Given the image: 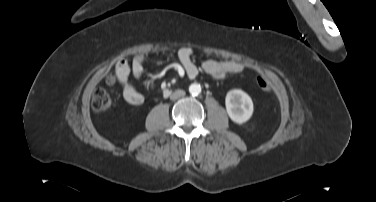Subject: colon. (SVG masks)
<instances>
[{"label":"colon","mask_w":376,"mask_h":202,"mask_svg":"<svg viewBox=\"0 0 376 202\" xmlns=\"http://www.w3.org/2000/svg\"><path fill=\"white\" fill-rule=\"evenodd\" d=\"M106 82L111 85L115 82V78L111 75ZM256 84L263 91L270 90V81L265 76H258ZM91 105L96 113H102L111 107L112 97L105 89H98L92 96Z\"/></svg>","instance_id":"colon-1"}]
</instances>
